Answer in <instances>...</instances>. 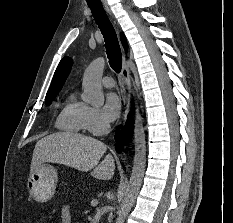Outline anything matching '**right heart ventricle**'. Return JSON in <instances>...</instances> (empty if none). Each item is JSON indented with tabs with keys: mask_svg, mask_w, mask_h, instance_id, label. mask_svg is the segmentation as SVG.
<instances>
[{
	"mask_svg": "<svg viewBox=\"0 0 233 223\" xmlns=\"http://www.w3.org/2000/svg\"><path fill=\"white\" fill-rule=\"evenodd\" d=\"M86 105L70 94L57 110L54 127L63 132L77 133L84 129Z\"/></svg>",
	"mask_w": 233,
	"mask_h": 223,
	"instance_id": "1",
	"label": "right heart ventricle"
}]
</instances>
